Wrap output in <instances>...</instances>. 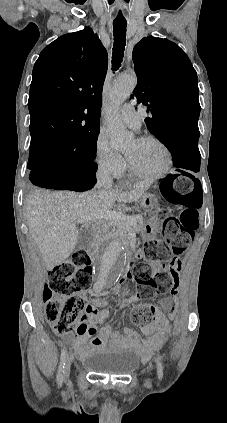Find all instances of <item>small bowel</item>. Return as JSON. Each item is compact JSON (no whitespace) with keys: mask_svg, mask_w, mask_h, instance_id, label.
<instances>
[{"mask_svg":"<svg viewBox=\"0 0 227 423\" xmlns=\"http://www.w3.org/2000/svg\"><path fill=\"white\" fill-rule=\"evenodd\" d=\"M171 293L174 298L164 299L160 304L163 310L170 317H173L176 311L178 281L171 289ZM137 299V296L124 299L119 303V306L122 308L127 307ZM106 305L107 302L105 300L97 299L86 306L85 314L80 322L81 330L72 342L73 348L79 357H85L96 348L103 347L107 344L129 348L139 355L145 356L151 347L162 342L170 332L171 327L169 321L159 311L154 314L153 320L142 328L143 334L147 337L143 342L137 339L133 330L119 333L104 326L97 331L96 324H104L108 317V310L105 308Z\"/></svg>","mask_w":227,"mask_h":423,"instance_id":"c3829d8e","label":"small bowel"}]
</instances>
